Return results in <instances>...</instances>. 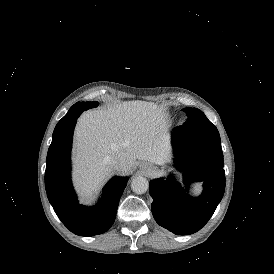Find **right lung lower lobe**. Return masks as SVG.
Instances as JSON below:
<instances>
[{
    "mask_svg": "<svg viewBox=\"0 0 274 274\" xmlns=\"http://www.w3.org/2000/svg\"><path fill=\"white\" fill-rule=\"evenodd\" d=\"M77 103L58 122L60 129L53 133L47 154L45 187L63 224L77 235L94 236L106 232L114 223L128 178L113 177L104 187L101 201L94 207L78 203L70 179V150L76 120L86 107Z\"/></svg>",
    "mask_w": 274,
    "mask_h": 274,
    "instance_id": "right-lung-lower-lobe-1",
    "label": "right lung lower lobe"
}]
</instances>
